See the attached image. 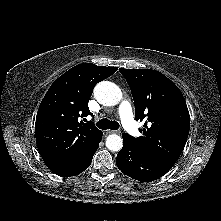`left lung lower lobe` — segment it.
Masks as SVG:
<instances>
[{"label":"left lung lower lobe","instance_id":"left-lung-lower-lobe-1","mask_svg":"<svg viewBox=\"0 0 221 221\" xmlns=\"http://www.w3.org/2000/svg\"><path fill=\"white\" fill-rule=\"evenodd\" d=\"M124 145L118 152L116 163L124 174L142 182H151L165 175L172 166L138 149L122 134Z\"/></svg>","mask_w":221,"mask_h":221}]
</instances>
